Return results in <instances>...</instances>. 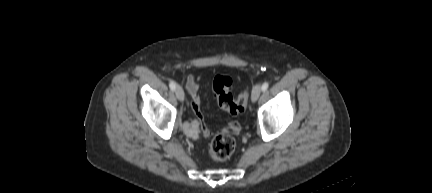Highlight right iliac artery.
<instances>
[{
    "label": "right iliac artery",
    "instance_id": "82829eb1",
    "mask_svg": "<svg viewBox=\"0 0 432 193\" xmlns=\"http://www.w3.org/2000/svg\"><path fill=\"white\" fill-rule=\"evenodd\" d=\"M169 87H170V89H171L172 91H175V89H176V84H175L173 81H170V82H169Z\"/></svg>",
    "mask_w": 432,
    "mask_h": 193
}]
</instances>
